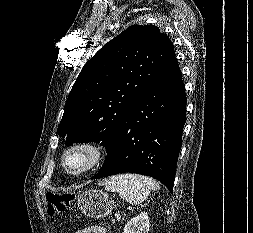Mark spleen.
<instances>
[{"label": "spleen", "mask_w": 253, "mask_h": 233, "mask_svg": "<svg viewBox=\"0 0 253 233\" xmlns=\"http://www.w3.org/2000/svg\"><path fill=\"white\" fill-rule=\"evenodd\" d=\"M105 189L118 192L129 203L139 205L147 199L151 191L160 190V186L147 176L127 173L113 176Z\"/></svg>", "instance_id": "3e777b00"}]
</instances>
